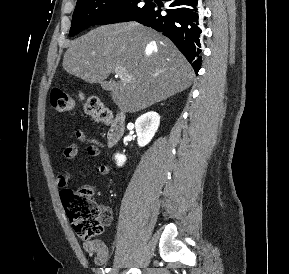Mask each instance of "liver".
<instances>
[{
	"label": "liver",
	"instance_id": "liver-1",
	"mask_svg": "<svg viewBox=\"0 0 289 274\" xmlns=\"http://www.w3.org/2000/svg\"><path fill=\"white\" fill-rule=\"evenodd\" d=\"M63 69L102 83L116 67L125 77L110 87L125 112H138L189 88L191 65L166 37L136 22L104 25L70 42Z\"/></svg>",
	"mask_w": 289,
	"mask_h": 274
}]
</instances>
